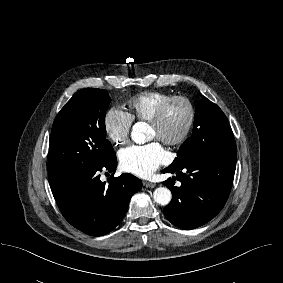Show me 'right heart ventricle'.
Wrapping results in <instances>:
<instances>
[{
	"label": "right heart ventricle",
	"mask_w": 283,
	"mask_h": 283,
	"mask_svg": "<svg viewBox=\"0 0 283 283\" xmlns=\"http://www.w3.org/2000/svg\"><path fill=\"white\" fill-rule=\"evenodd\" d=\"M169 96H171L169 93L160 91L135 94L127 101V113L132 121H149L159 105Z\"/></svg>",
	"instance_id": "e07e8e85"
}]
</instances>
